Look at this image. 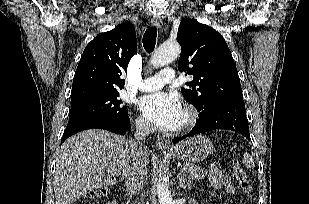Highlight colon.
<instances>
[{
  "label": "colon",
  "instance_id": "colon-1",
  "mask_svg": "<svg viewBox=\"0 0 309 204\" xmlns=\"http://www.w3.org/2000/svg\"><path fill=\"white\" fill-rule=\"evenodd\" d=\"M233 174L234 178L239 184L240 188L244 192L248 200H252L254 196V190L245 170L242 168L237 160L233 161ZM101 194L105 195L106 191L103 190Z\"/></svg>",
  "mask_w": 309,
  "mask_h": 204
}]
</instances>
